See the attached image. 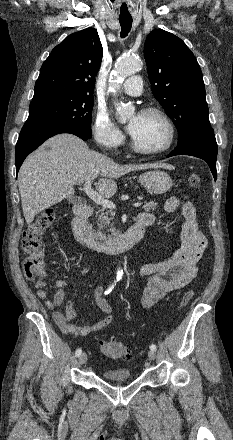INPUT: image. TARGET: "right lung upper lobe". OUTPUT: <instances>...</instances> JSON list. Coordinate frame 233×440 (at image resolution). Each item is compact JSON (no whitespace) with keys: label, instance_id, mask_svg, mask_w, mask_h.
<instances>
[{"label":"right lung upper lobe","instance_id":"right-lung-upper-lobe-1","mask_svg":"<svg viewBox=\"0 0 233 440\" xmlns=\"http://www.w3.org/2000/svg\"><path fill=\"white\" fill-rule=\"evenodd\" d=\"M102 54L96 29L69 35L43 63L31 103L58 97H93Z\"/></svg>","mask_w":233,"mask_h":440}]
</instances>
